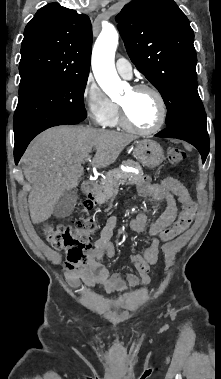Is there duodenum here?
<instances>
[{"label": "duodenum", "instance_id": "obj_1", "mask_svg": "<svg viewBox=\"0 0 221 379\" xmlns=\"http://www.w3.org/2000/svg\"><path fill=\"white\" fill-rule=\"evenodd\" d=\"M95 190H96V185L94 181L87 180L84 183V193L87 200H91L93 202L96 201Z\"/></svg>", "mask_w": 221, "mask_h": 379}]
</instances>
